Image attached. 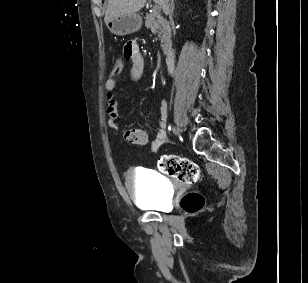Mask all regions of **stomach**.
<instances>
[{
	"mask_svg": "<svg viewBox=\"0 0 308 283\" xmlns=\"http://www.w3.org/2000/svg\"><path fill=\"white\" fill-rule=\"evenodd\" d=\"M141 26L142 18L136 13L117 16L107 23L110 32L118 36L134 33L138 31Z\"/></svg>",
	"mask_w": 308,
	"mask_h": 283,
	"instance_id": "stomach-1",
	"label": "stomach"
}]
</instances>
